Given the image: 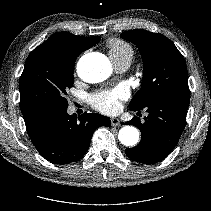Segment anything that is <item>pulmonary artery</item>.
<instances>
[{
    "label": "pulmonary artery",
    "instance_id": "obj_1",
    "mask_svg": "<svg viewBox=\"0 0 211 211\" xmlns=\"http://www.w3.org/2000/svg\"><path fill=\"white\" fill-rule=\"evenodd\" d=\"M114 65L118 71L122 72V71H125L129 67L130 63L124 61V62L115 63Z\"/></svg>",
    "mask_w": 211,
    "mask_h": 211
}]
</instances>
